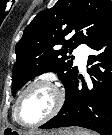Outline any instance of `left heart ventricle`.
Masks as SVG:
<instances>
[{
  "label": "left heart ventricle",
  "mask_w": 112,
  "mask_h": 135,
  "mask_svg": "<svg viewBox=\"0 0 112 135\" xmlns=\"http://www.w3.org/2000/svg\"><path fill=\"white\" fill-rule=\"evenodd\" d=\"M57 102L55 91L39 85L26 92L21 101V114L26 121L35 122L48 115Z\"/></svg>",
  "instance_id": "left-heart-ventricle-1"
}]
</instances>
